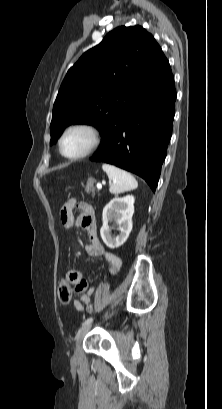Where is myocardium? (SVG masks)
<instances>
[{"label": "myocardium", "mask_w": 222, "mask_h": 409, "mask_svg": "<svg viewBox=\"0 0 222 409\" xmlns=\"http://www.w3.org/2000/svg\"><path fill=\"white\" fill-rule=\"evenodd\" d=\"M74 130L87 131L91 136V141H90L89 146L83 152L77 155H67L63 151V141L65 137ZM101 142H102V133L100 129L94 124L83 122V123H76V124L70 125L68 128H66L63 131V133L61 134L59 138L58 148H59L60 154L64 158L69 159V160H78V159L85 158L89 156L90 154H92L100 146Z\"/></svg>", "instance_id": "1"}]
</instances>
